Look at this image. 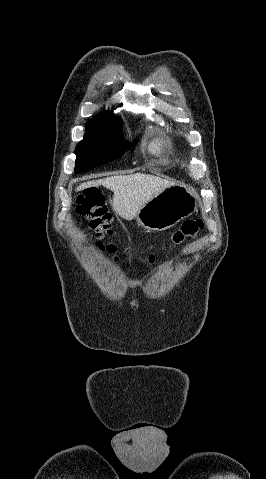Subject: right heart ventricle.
Here are the masks:
<instances>
[{
	"mask_svg": "<svg viewBox=\"0 0 266 479\" xmlns=\"http://www.w3.org/2000/svg\"><path fill=\"white\" fill-rule=\"evenodd\" d=\"M164 144H165L164 140L157 139L151 143L150 148L155 153H161L163 151Z\"/></svg>",
	"mask_w": 266,
	"mask_h": 479,
	"instance_id": "1",
	"label": "right heart ventricle"
}]
</instances>
